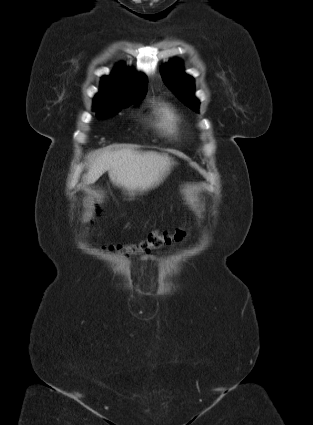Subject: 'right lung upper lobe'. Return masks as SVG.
Returning a JSON list of instances; mask_svg holds the SVG:
<instances>
[{
  "label": "right lung upper lobe",
  "mask_w": 313,
  "mask_h": 425,
  "mask_svg": "<svg viewBox=\"0 0 313 425\" xmlns=\"http://www.w3.org/2000/svg\"><path fill=\"white\" fill-rule=\"evenodd\" d=\"M146 91V76L120 65L110 76L102 78L100 92L95 96L94 102L114 98L134 102L142 100Z\"/></svg>",
  "instance_id": "obj_1"
}]
</instances>
